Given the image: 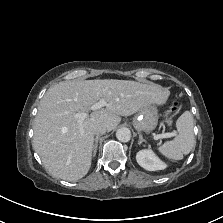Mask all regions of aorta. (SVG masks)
Returning a JSON list of instances; mask_svg holds the SVG:
<instances>
[{"mask_svg": "<svg viewBox=\"0 0 223 223\" xmlns=\"http://www.w3.org/2000/svg\"><path fill=\"white\" fill-rule=\"evenodd\" d=\"M116 138L120 142H129L131 139V131L126 127L119 128L116 131Z\"/></svg>", "mask_w": 223, "mask_h": 223, "instance_id": "obj_1", "label": "aorta"}]
</instances>
